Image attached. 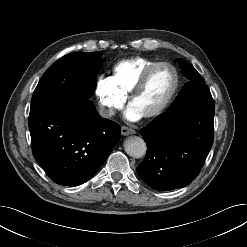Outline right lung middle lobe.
I'll return each mask as SVG.
<instances>
[{"mask_svg": "<svg viewBox=\"0 0 247 247\" xmlns=\"http://www.w3.org/2000/svg\"><path fill=\"white\" fill-rule=\"evenodd\" d=\"M101 57V52H75L57 60L34 90L30 111L51 100L70 105L89 101L95 91Z\"/></svg>", "mask_w": 247, "mask_h": 247, "instance_id": "right-lung-middle-lobe-1", "label": "right lung middle lobe"}]
</instances>
